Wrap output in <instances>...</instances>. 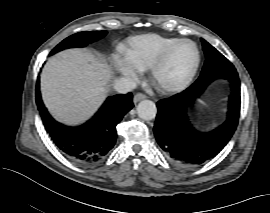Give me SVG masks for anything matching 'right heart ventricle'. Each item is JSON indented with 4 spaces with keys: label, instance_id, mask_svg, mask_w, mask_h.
I'll list each match as a JSON object with an SVG mask.
<instances>
[{
    "label": "right heart ventricle",
    "instance_id": "e07e8e85",
    "mask_svg": "<svg viewBox=\"0 0 270 213\" xmlns=\"http://www.w3.org/2000/svg\"><path fill=\"white\" fill-rule=\"evenodd\" d=\"M178 38L145 34L130 39L122 51L123 61L136 71L148 69L159 54Z\"/></svg>",
    "mask_w": 270,
    "mask_h": 213
}]
</instances>
